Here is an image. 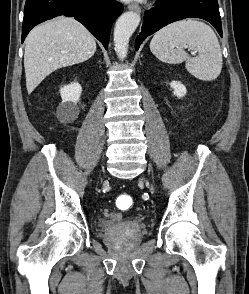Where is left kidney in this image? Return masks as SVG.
<instances>
[{"mask_svg":"<svg viewBox=\"0 0 249 294\" xmlns=\"http://www.w3.org/2000/svg\"><path fill=\"white\" fill-rule=\"evenodd\" d=\"M171 88L174 90V95L178 98L184 97L186 95V87L179 81H172L170 83Z\"/></svg>","mask_w":249,"mask_h":294,"instance_id":"1","label":"left kidney"}]
</instances>
